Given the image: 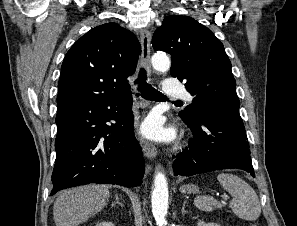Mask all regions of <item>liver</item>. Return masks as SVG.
Here are the masks:
<instances>
[{
	"label": "liver",
	"mask_w": 297,
	"mask_h": 226,
	"mask_svg": "<svg viewBox=\"0 0 297 226\" xmlns=\"http://www.w3.org/2000/svg\"><path fill=\"white\" fill-rule=\"evenodd\" d=\"M109 196L108 188L103 185H85L61 192L53 207L56 226H78L101 211Z\"/></svg>",
	"instance_id": "6515ba94"
}]
</instances>
